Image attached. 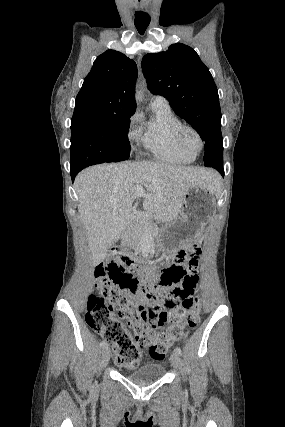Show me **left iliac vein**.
Wrapping results in <instances>:
<instances>
[{
	"instance_id": "obj_1",
	"label": "left iliac vein",
	"mask_w": 285,
	"mask_h": 427,
	"mask_svg": "<svg viewBox=\"0 0 285 427\" xmlns=\"http://www.w3.org/2000/svg\"><path fill=\"white\" fill-rule=\"evenodd\" d=\"M171 363H172V366H173L175 369H178V368H179V365H180V356H179V354H178V353H176L175 351L173 352V354H172V356H171Z\"/></svg>"
}]
</instances>
